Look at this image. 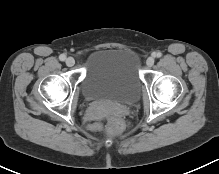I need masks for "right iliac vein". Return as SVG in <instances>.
<instances>
[{
    "mask_svg": "<svg viewBox=\"0 0 219 174\" xmlns=\"http://www.w3.org/2000/svg\"><path fill=\"white\" fill-rule=\"evenodd\" d=\"M74 64H75V60H74L73 57H68V58L66 59V65H67V66L71 67V66H73Z\"/></svg>",
    "mask_w": 219,
    "mask_h": 174,
    "instance_id": "right-iliac-vein-1",
    "label": "right iliac vein"
}]
</instances>
